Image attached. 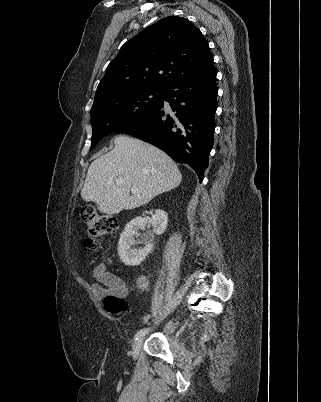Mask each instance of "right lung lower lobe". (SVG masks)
<instances>
[{
	"label": "right lung lower lobe",
	"mask_w": 321,
	"mask_h": 402,
	"mask_svg": "<svg viewBox=\"0 0 321 402\" xmlns=\"http://www.w3.org/2000/svg\"><path fill=\"white\" fill-rule=\"evenodd\" d=\"M214 63L178 78L165 88L163 102L149 115L119 128L160 148L174 160L189 164L202 182L213 146L217 109Z\"/></svg>",
	"instance_id": "obj_1"
}]
</instances>
